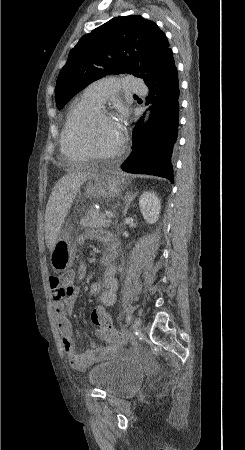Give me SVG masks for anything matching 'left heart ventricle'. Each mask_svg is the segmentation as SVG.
Returning a JSON list of instances; mask_svg holds the SVG:
<instances>
[{
	"label": "left heart ventricle",
	"instance_id": "1",
	"mask_svg": "<svg viewBox=\"0 0 245 450\" xmlns=\"http://www.w3.org/2000/svg\"><path fill=\"white\" fill-rule=\"evenodd\" d=\"M95 148L102 153H110L118 149L121 143L115 122L112 119H99L93 129Z\"/></svg>",
	"mask_w": 245,
	"mask_h": 450
}]
</instances>
